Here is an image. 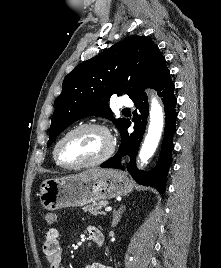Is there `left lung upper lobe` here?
<instances>
[{
	"instance_id": "5c2ea615",
	"label": "left lung upper lobe",
	"mask_w": 221,
	"mask_h": 268,
	"mask_svg": "<svg viewBox=\"0 0 221 268\" xmlns=\"http://www.w3.org/2000/svg\"><path fill=\"white\" fill-rule=\"evenodd\" d=\"M169 77L165 58L151 39L129 37L114 44L65 77L55 102L47 146L79 119L95 115L112 120L108 101L113 94H127L135 100L146 95L143 84L156 89ZM128 121L113 120L120 132Z\"/></svg>"
}]
</instances>
